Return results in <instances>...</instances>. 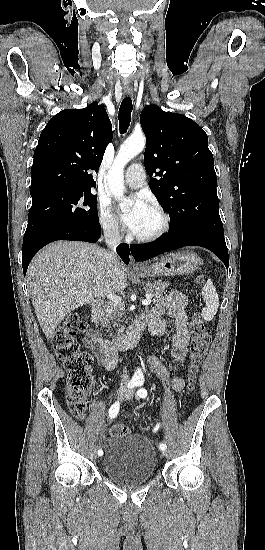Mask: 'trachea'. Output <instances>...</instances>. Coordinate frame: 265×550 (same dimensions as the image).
I'll return each mask as SVG.
<instances>
[{"instance_id": "3493384b", "label": "trachea", "mask_w": 265, "mask_h": 550, "mask_svg": "<svg viewBox=\"0 0 265 550\" xmlns=\"http://www.w3.org/2000/svg\"><path fill=\"white\" fill-rule=\"evenodd\" d=\"M132 108L131 98L125 97L119 109V130L121 134L126 133L130 125Z\"/></svg>"}]
</instances>
